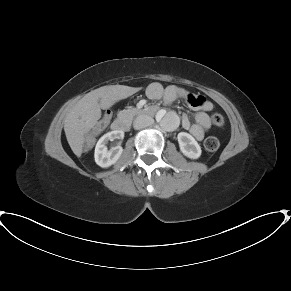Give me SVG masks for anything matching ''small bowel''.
<instances>
[{
  "mask_svg": "<svg viewBox=\"0 0 291 291\" xmlns=\"http://www.w3.org/2000/svg\"><path fill=\"white\" fill-rule=\"evenodd\" d=\"M149 99L157 101L163 99L170 104L176 99H184L188 105L197 110L195 123H191L189 118L184 115L181 125L188 130L196 139H203L205 133L211 126L209 112L213 109V103L206 100L203 96L195 95L185 87L171 85L164 88L160 83H151L146 90Z\"/></svg>",
  "mask_w": 291,
  "mask_h": 291,
  "instance_id": "1",
  "label": "small bowel"
}]
</instances>
